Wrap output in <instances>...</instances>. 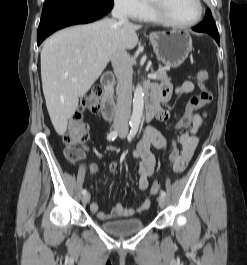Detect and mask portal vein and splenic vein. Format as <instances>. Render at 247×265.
<instances>
[{"label":"portal vein and splenic vein","mask_w":247,"mask_h":265,"mask_svg":"<svg viewBox=\"0 0 247 265\" xmlns=\"http://www.w3.org/2000/svg\"><path fill=\"white\" fill-rule=\"evenodd\" d=\"M148 77L151 78V79H155L156 75L155 74H149ZM73 80H75V79H73Z\"/></svg>","instance_id":"portal-vein-and-splenic-vein-1"}]
</instances>
